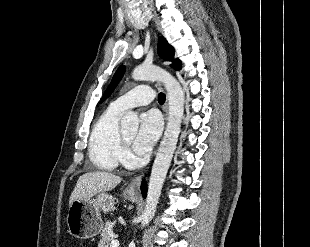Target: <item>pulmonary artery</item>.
Returning a JSON list of instances; mask_svg holds the SVG:
<instances>
[{
    "mask_svg": "<svg viewBox=\"0 0 310 247\" xmlns=\"http://www.w3.org/2000/svg\"><path fill=\"white\" fill-rule=\"evenodd\" d=\"M155 97L154 90L148 85H140L117 98L111 105L125 111L136 106L149 104Z\"/></svg>",
    "mask_w": 310,
    "mask_h": 247,
    "instance_id": "e3ab8cb5",
    "label": "pulmonary artery"
}]
</instances>
